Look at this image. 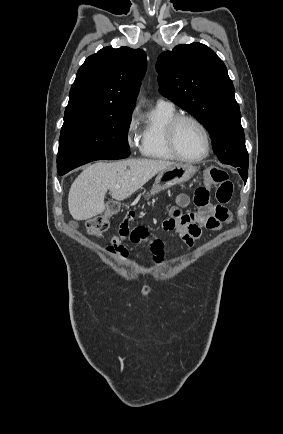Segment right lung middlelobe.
Segmentation results:
<instances>
[{"mask_svg":"<svg viewBox=\"0 0 283 434\" xmlns=\"http://www.w3.org/2000/svg\"><path fill=\"white\" fill-rule=\"evenodd\" d=\"M132 114L76 116L64 119L57 170H70L95 160H117L130 155L127 133Z\"/></svg>","mask_w":283,"mask_h":434,"instance_id":"1","label":"right lung middle lobe"}]
</instances>
